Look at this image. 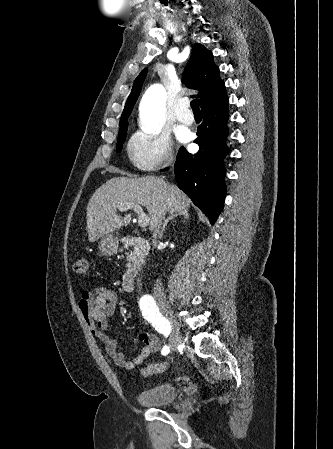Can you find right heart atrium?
Segmentation results:
<instances>
[{
    "instance_id": "1",
    "label": "right heart atrium",
    "mask_w": 333,
    "mask_h": 449,
    "mask_svg": "<svg viewBox=\"0 0 333 449\" xmlns=\"http://www.w3.org/2000/svg\"><path fill=\"white\" fill-rule=\"evenodd\" d=\"M128 156L141 171H153L169 165L173 160L170 138L162 133H135L127 147Z\"/></svg>"
}]
</instances>
